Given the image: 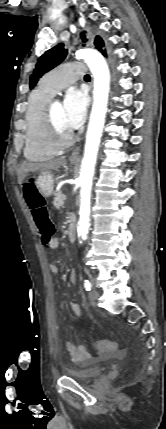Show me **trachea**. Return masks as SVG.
Returning <instances> with one entry per match:
<instances>
[{"label": "trachea", "mask_w": 166, "mask_h": 429, "mask_svg": "<svg viewBox=\"0 0 166 429\" xmlns=\"http://www.w3.org/2000/svg\"><path fill=\"white\" fill-rule=\"evenodd\" d=\"M85 79H90V76L88 74L85 75Z\"/></svg>", "instance_id": "1"}]
</instances>
